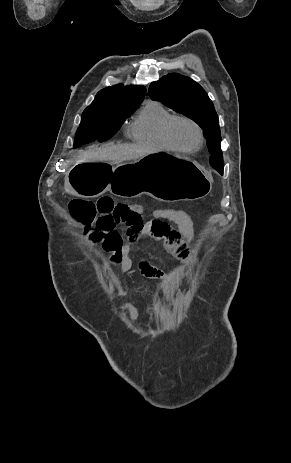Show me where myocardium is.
Listing matches in <instances>:
<instances>
[{
    "instance_id": "f54148a6",
    "label": "myocardium",
    "mask_w": 291,
    "mask_h": 463,
    "mask_svg": "<svg viewBox=\"0 0 291 463\" xmlns=\"http://www.w3.org/2000/svg\"><path fill=\"white\" fill-rule=\"evenodd\" d=\"M180 121H183V122H187L189 124H191L197 131V134H198V142L197 144L192 147V148H184L182 146H180L174 139L173 137V127L174 125L177 123V122H180ZM164 137H165V140L167 141V143L176 151L178 152H181V153H184V154H193L195 152H197L204 144V132H203V129L202 127L199 125V123L197 121H195L194 119L188 117V116H174L172 117L168 122L167 124L165 125V128H164Z\"/></svg>"
}]
</instances>
